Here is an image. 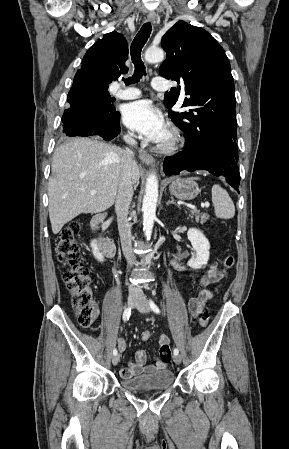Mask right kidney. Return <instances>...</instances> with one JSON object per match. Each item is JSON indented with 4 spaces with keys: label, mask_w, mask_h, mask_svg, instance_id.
<instances>
[{
    "label": "right kidney",
    "mask_w": 289,
    "mask_h": 449,
    "mask_svg": "<svg viewBox=\"0 0 289 449\" xmlns=\"http://www.w3.org/2000/svg\"><path fill=\"white\" fill-rule=\"evenodd\" d=\"M90 246L92 248V252L94 257L99 261V262H103L104 261V256L103 254L100 252V248L97 244L96 240H92L90 243Z\"/></svg>",
    "instance_id": "1"
}]
</instances>
